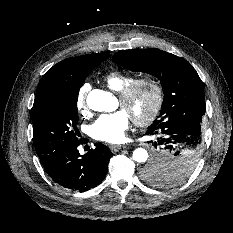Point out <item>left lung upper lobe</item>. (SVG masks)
<instances>
[{
    "instance_id": "left-lung-upper-lobe-1",
    "label": "left lung upper lobe",
    "mask_w": 233,
    "mask_h": 233,
    "mask_svg": "<svg viewBox=\"0 0 233 233\" xmlns=\"http://www.w3.org/2000/svg\"><path fill=\"white\" fill-rule=\"evenodd\" d=\"M113 62L133 72H145L157 76L162 84L164 101L160 116L149 127L166 121L205 114L203 83L196 70L186 60L171 53L151 48L120 51ZM200 156L185 154L164 164L154 162L142 171V178L155 185L179 184L193 173Z\"/></svg>"
}]
</instances>
